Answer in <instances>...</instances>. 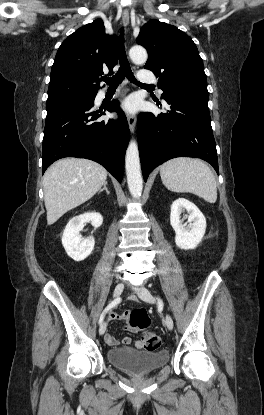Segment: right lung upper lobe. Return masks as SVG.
<instances>
[{
  "label": "right lung upper lobe",
  "instance_id": "cb5924a9",
  "mask_svg": "<svg viewBox=\"0 0 264 415\" xmlns=\"http://www.w3.org/2000/svg\"><path fill=\"white\" fill-rule=\"evenodd\" d=\"M104 31L103 22L97 19L64 40L51 69L48 99L97 94L103 68L112 74L117 64L118 39Z\"/></svg>",
  "mask_w": 264,
  "mask_h": 415
}]
</instances>
